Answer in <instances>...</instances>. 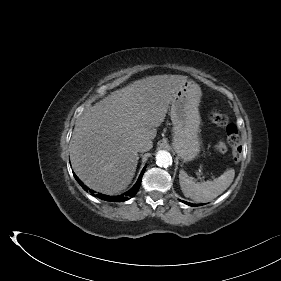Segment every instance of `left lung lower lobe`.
Instances as JSON below:
<instances>
[{
	"label": "left lung lower lobe",
	"instance_id": "0a47b994",
	"mask_svg": "<svg viewBox=\"0 0 281 281\" xmlns=\"http://www.w3.org/2000/svg\"><path fill=\"white\" fill-rule=\"evenodd\" d=\"M182 202H184L185 204L190 205V206H198V205H195V204L187 203L185 201H182Z\"/></svg>",
	"mask_w": 281,
	"mask_h": 281
}]
</instances>
